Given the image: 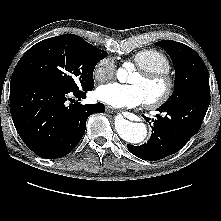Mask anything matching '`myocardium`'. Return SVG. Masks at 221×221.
I'll return each instance as SVG.
<instances>
[{
	"label": "myocardium",
	"mask_w": 221,
	"mask_h": 221,
	"mask_svg": "<svg viewBox=\"0 0 221 221\" xmlns=\"http://www.w3.org/2000/svg\"><path fill=\"white\" fill-rule=\"evenodd\" d=\"M137 73L147 80L161 81L164 84V90L159 96L146 100V105L148 107H160L172 97L175 90V79L169 72L139 69Z\"/></svg>",
	"instance_id": "myocardium-1"
}]
</instances>
